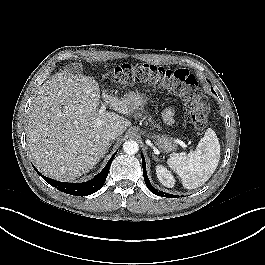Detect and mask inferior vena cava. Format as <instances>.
I'll use <instances>...</instances> for the list:
<instances>
[{
  "label": "inferior vena cava",
  "instance_id": "obj_1",
  "mask_svg": "<svg viewBox=\"0 0 265 265\" xmlns=\"http://www.w3.org/2000/svg\"><path fill=\"white\" fill-rule=\"evenodd\" d=\"M105 136L107 139L113 140L118 137V134L115 131L111 130V131H108Z\"/></svg>",
  "mask_w": 265,
  "mask_h": 265
}]
</instances>
